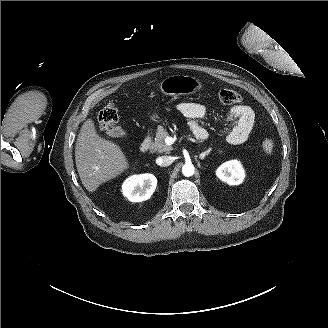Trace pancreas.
<instances>
[{
	"instance_id": "pancreas-1",
	"label": "pancreas",
	"mask_w": 328,
	"mask_h": 328,
	"mask_svg": "<svg viewBox=\"0 0 328 328\" xmlns=\"http://www.w3.org/2000/svg\"><path fill=\"white\" fill-rule=\"evenodd\" d=\"M169 136L167 128L159 126L156 132L155 140L152 142L151 147L158 150L159 152L171 151L173 150L172 146L165 143V138Z\"/></svg>"
}]
</instances>
